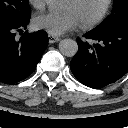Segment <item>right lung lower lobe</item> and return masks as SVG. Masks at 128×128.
<instances>
[{"instance_id":"obj_1","label":"right lung lower lobe","mask_w":128,"mask_h":128,"mask_svg":"<svg viewBox=\"0 0 128 128\" xmlns=\"http://www.w3.org/2000/svg\"><path fill=\"white\" fill-rule=\"evenodd\" d=\"M28 22L0 23V82L16 83L28 77L47 47L48 39L44 31L24 33L19 40L15 37L17 31L26 29Z\"/></svg>"}]
</instances>
